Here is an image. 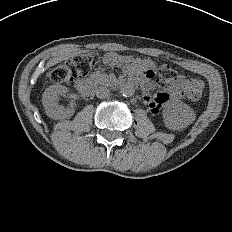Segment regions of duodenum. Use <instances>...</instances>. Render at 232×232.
Instances as JSON below:
<instances>
[{"label": "duodenum", "instance_id": "duodenum-1", "mask_svg": "<svg viewBox=\"0 0 232 232\" xmlns=\"http://www.w3.org/2000/svg\"><path fill=\"white\" fill-rule=\"evenodd\" d=\"M132 83L135 85H141V87H144L143 82H139L137 80H132ZM78 91L85 97H91L94 93V87L93 84L89 81H80L77 84Z\"/></svg>", "mask_w": 232, "mask_h": 232}]
</instances>
